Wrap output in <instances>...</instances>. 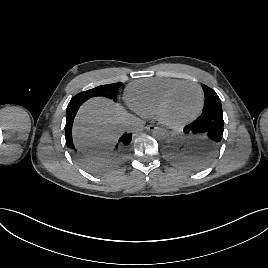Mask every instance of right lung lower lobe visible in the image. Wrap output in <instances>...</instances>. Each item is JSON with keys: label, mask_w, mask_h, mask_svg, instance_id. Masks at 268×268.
<instances>
[{"label": "right lung lower lobe", "mask_w": 268, "mask_h": 268, "mask_svg": "<svg viewBox=\"0 0 268 268\" xmlns=\"http://www.w3.org/2000/svg\"><path fill=\"white\" fill-rule=\"evenodd\" d=\"M85 101L69 102L67 107L66 125H65V139L66 145L69 147L73 155L79 159L90 171L94 173H102L118 166L126 157L129 149V144L132 139V134L124 133L118 140L114 152L110 156L109 161L103 164H94L88 158L80 153L74 146L72 140V125L74 117L80 107Z\"/></svg>", "instance_id": "1"}]
</instances>
